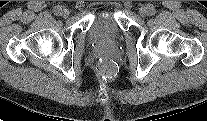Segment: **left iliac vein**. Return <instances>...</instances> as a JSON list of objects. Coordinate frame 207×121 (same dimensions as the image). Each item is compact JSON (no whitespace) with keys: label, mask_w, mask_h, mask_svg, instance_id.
I'll return each mask as SVG.
<instances>
[{"label":"left iliac vein","mask_w":207,"mask_h":121,"mask_svg":"<svg viewBox=\"0 0 207 121\" xmlns=\"http://www.w3.org/2000/svg\"><path fill=\"white\" fill-rule=\"evenodd\" d=\"M139 14H140V16H142V17L147 16V15L149 14L148 7H146V6H142V7L140 8V10H139Z\"/></svg>","instance_id":"obj_1"}]
</instances>
